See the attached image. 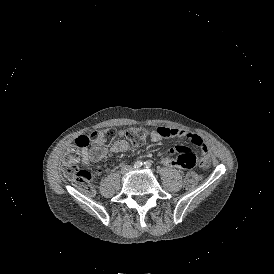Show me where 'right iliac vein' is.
Segmentation results:
<instances>
[{"instance_id": "1", "label": "right iliac vein", "mask_w": 274, "mask_h": 274, "mask_svg": "<svg viewBox=\"0 0 274 274\" xmlns=\"http://www.w3.org/2000/svg\"><path fill=\"white\" fill-rule=\"evenodd\" d=\"M130 167L129 166H125L124 168H122V174H126V173H128L129 171H130Z\"/></svg>"}]
</instances>
